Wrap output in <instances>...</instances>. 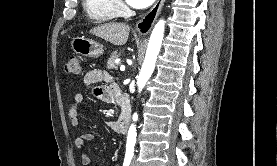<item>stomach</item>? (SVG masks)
<instances>
[{
  "label": "stomach",
  "instance_id": "0dacf381",
  "mask_svg": "<svg viewBox=\"0 0 277 166\" xmlns=\"http://www.w3.org/2000/svg\"><path fill=\"white\" fill-rule=\"evenodd\" d=\"M71 48L76 54L85 57L98 58L104 53L103 46L100 43L84 36L73 38Z\"/></svg>",
  "mask_w": 277,
  "mask_h": 166
}]
</instances>
